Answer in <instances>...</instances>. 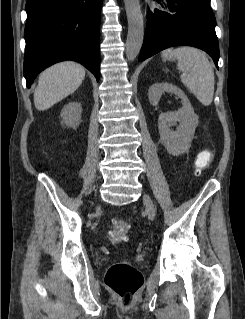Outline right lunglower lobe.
<instances>
[{"instance_id":"98d812e1","label":"right lung lower lobe","mask_w":245,"mask_h":319,"mask_svg":"<svg viewBox=\"0 0 245 319\" xmlns=\"http://www.w3.org/2000/svg\"><path fill=\"white\" fill-rule=\"evenodd\" d=\"M102 0H27L24 77L29 88L50 65L74 60L99 80Z\"/></svg>"}]
</instances>
